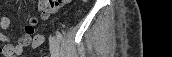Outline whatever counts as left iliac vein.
Listing matches in <instances>:
<instances>
[{
	"label": "left iliac vein",
	"mask_w": 172,
	"mask_h": 57,
	"mask_svg": "<svg viewBox=\"0 0 172 57\" xmlns=\"http://www.w3.org/2000/svg\"><path fill=\"white\" fill-rule=\"evenodd\" d=\"M50 52L52 57L59 56V40L56 36H51L49 39Z\"/></svg>",
	"instance_id": "4c4485c4"
}]
</instances>
